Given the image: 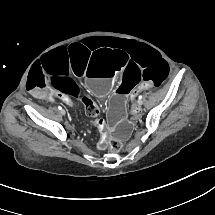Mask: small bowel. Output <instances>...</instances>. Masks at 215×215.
<instances>
[{
    "label": "small bowel",
    "instance_id": "1",
    "mask_svg": "<svg viewBox=\"0 0 215 215\" xmlns=\"http://www.w3.org/2000/svg\"><path fill=\"white\" fill-rule=\"evenodd\" d=\"M57 96L64 102H68L69 98L66 96V95H63V94H57ZM132 113L133 114H136L134 108H132Z\"/></svg>",
    "mask_w": 215,
    "mask_h": 215
}]
</instances>
